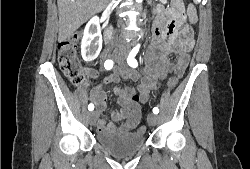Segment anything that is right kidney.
<instances>
[{"instance_id": "obj_1", "label": "right kidney", "mask_w": 250, "mask_h": 169, "mask_svg": "<svg viewBox=\"0 0 250 169\" xmlns=\"http://www.w3.org/2000/svg\"><path fill=\"white\" fill-rule=\"evenodd\" d=\"M102 48V34L98 16H93L87 22L81 40V54L83 60H94Z\"/></svg>"}]
</instances>
